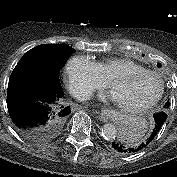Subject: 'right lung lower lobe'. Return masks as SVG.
Returning a JSON list of instances; mask_svg holds the SVG:
<instances>
[{
    "mask_svg": "<svg viewBox=\"0 0 177 177\" xmlns=\"http://www.w3.org/2000/svg\"><path fill=\"white\" fill-rule=\"evenodd\" d=\"M7 107L17 129L38 140L59 132L71 113L59 80L34 68L11 74Z\"/></svg>",
    "mask_w": 177,
    "mask_h": 177,
    "instance_id": "1",
    "label": "right lung lower lobe"
}]
</instances>
